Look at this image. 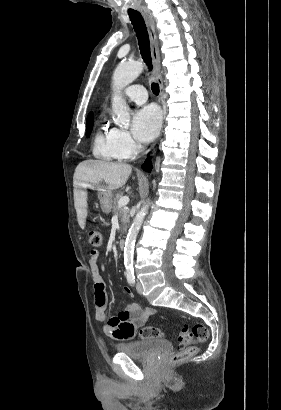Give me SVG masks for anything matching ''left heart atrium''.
Wrapping results in <instances>:
<instances>
[{
    "label": "left heart atrium",
    "mask_w": 281,
    "mask_h": 410,
    "mask_svg": "<svg viewBox=\"0 0 281 410\" xmlns=\"http://www.w3.org/2000/svg\"><path fill=\"white\" fill-rule=\"evenodd\" d=\"M161 126V114L153 105L137 110L132 121L134 136L141 142H150L158 134Z\"/></svg>",
    "instance_id": "1"
}]
</instances>
